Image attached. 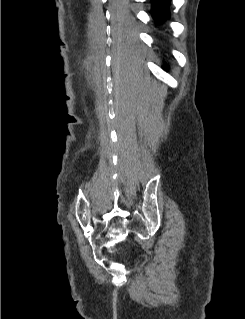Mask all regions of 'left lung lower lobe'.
<instances>
[{"label":"left lung lower lobe","instance_id":"obj_1","mask_svg":"<svg viewBox=\"0 0 245 319\" xmlns=\"http://www.w3.org/2000/svg\"><path fill=\"white\" fill-rule=\"evenodd\" d=\"M152 7V15L157 23L165 20L169 16L168 5L170 0H151Z\"/></svg>","mask_w":245,"mask_h":319}]
</instances>
